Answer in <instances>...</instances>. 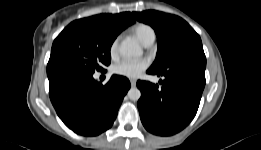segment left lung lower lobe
<instances>
[{
    "instance_id": "obj_1",
    "label": "left lung lower lobe",
    "mask_w": 261,
    "mask_h": 150,
    "mask_svg": "<svg viewBox=\"0 0 261 150\" xmlns=\"http://www.w3.org/2000/svg\"><path fill=\"white\" fill-rule=\"evenodd\" d=\"M204 52L185 53L161 71L148 69V74L164 76L158 84L138 81V101L144 127L160 136L173 135L194 118L205 86Z\"/></svg>"
}]
</instances>
